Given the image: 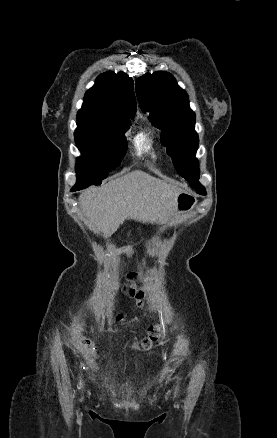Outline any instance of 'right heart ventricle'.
Returning a JSON list of instances; mask_svg holds the SVG:
<instances>
[{"label": "right heart ventricle", "instance_id": "right-heart-ventricle-1", "mask_svg": "<svg viewBox=\"0 0 277 438\" xmlns=\"http://www.w3.org/2000/svg\"><path fill=\"white\" fill-rule=\"evenodd\" d=\"M135 142H136V147L139 150H145V149L149 148V142H148L146 136L143 135V134L138 135L136 137V141Z\"/></svg>", "mask_w": 277, "mask_h": 438}]
</instances>
